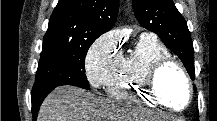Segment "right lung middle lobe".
Returning <instances> with one entry per match:
<instances>
[{
    "label": "right lung middle lobe",
    "mask_w": 217,
    "mask_h": 121,
    "mask_svg": "<svg viewBox=\"0 0 217 121\" xmlns=\"http://www.w3.org/2000/svg\"><path fill=\"white\" fill-rule=\"evenodd\" d=\"M96 39L79 40L44 36L43 48L31 95L61 85L89 89L84 61Z\"/></svg>",
    "instance_id": "dd1d6c3e"
}]
</instances>
